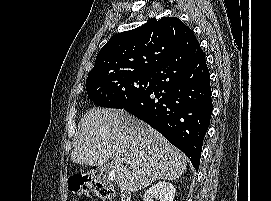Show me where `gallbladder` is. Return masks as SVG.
Segmentation results:
<instances>
[{"instance_id": "obj_1", "label": "gallbladder", "mask_w": 271, "mask_h": 201, "mask_svg": "<svg viewBox=\"0 0 271 201\" xmlns=\"http://www.w3.org/2000/svg\"><path fill=\"white\" fill-rule=\"evenodd\" d=\"M92 172L97 181L110 183L114 180V165L112 162L97 166Z\"/></svg>"}]
</instances>
